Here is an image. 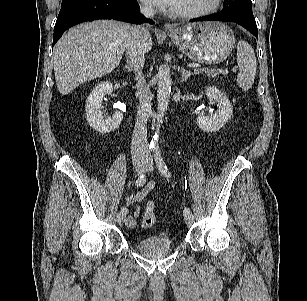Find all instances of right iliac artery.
<instances>
[{"label":"right iliac artery","instance_id":"right-iliac-artery-1","mask_svg":"<svg viewBox=\"0 0 307 301\" xmlns=\"http://www.w3.org/2000/svg\"><path fill=\"white\" fill-rule=\"evenodd\" d=\"M151 151H152V147L150 146V147L148 148V150H147V153H146V162H148V156L150 155ZM145 183H146V176H145L144 173H142V174L138 177V179H137V181H136V185H137V186H143ZM121 213L124 214V215L126 216V214L128 213L127 208H126V207H123V208L121 209Z\"/></svg>","mask_w":307,"mask_h":301}]
</instances>
